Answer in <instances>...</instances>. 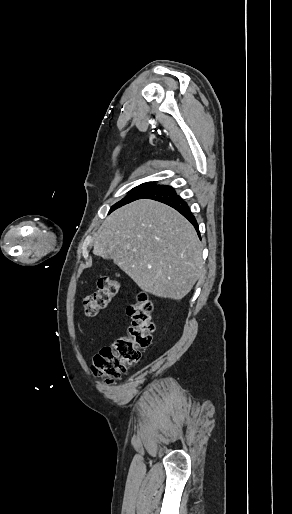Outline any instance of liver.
<instances>
[{
    "mask_svg": "<svg viewBox=\"0 0 292 514\" xmlns=\"http://www.w3.org/2000/svg\"><path fill=\"white\" fill-rule=\"evenodd\" d=\"M98 234L93 254H109L143 292L158 298L181 300L205 272L193 226L165 204H127L107 216Z\"/></svg>",
    "mask_w": 292,
    "mask_h": 514,
    "instance_id": "1",
    "label": "liver"
}]
</instances>
